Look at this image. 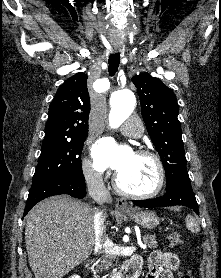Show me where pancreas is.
<instances>
[{"mask_svg":"<svg viewBox=\"0 0 221 278\" xmlns=\"http://www.w3.org/2000/svg\"><path fill=\"white\" fill-rule=\"evenodd\" d=\"M144 243L151 249L157 248L158 244L156 237L154 235H145L143 236Z\"/></svg>","mask_w":221,"mask_h":278,"instance_id":"cf45deb5","label":"pancreas"}]
</instances>
